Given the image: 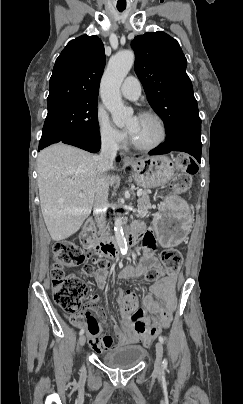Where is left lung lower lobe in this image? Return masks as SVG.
<instances>
[{"label":"left lung lower lobe","instance_id":"0a47b994","mask_svg":"<svg viewBox=\"0 0 243 404\" xmlns=\"http://www.w3.org/2000/svg\"><path fill=\"white\" fill-rule=\"evenodd\" d=\"M166 142L149 152L150 155L182 151L192 155L199 163L201 160V123L183 122L167 133Z\"/></svg>","mask_w":243,"mask_h":404}]
</instances>
